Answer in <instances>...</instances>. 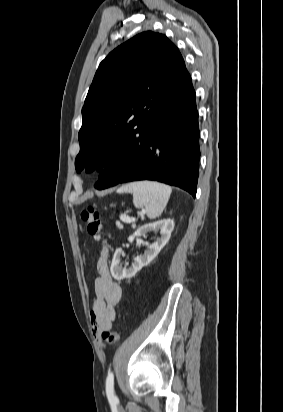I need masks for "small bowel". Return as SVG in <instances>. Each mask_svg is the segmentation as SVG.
<instances>
[{
    "mask_svg": "<svg viewBox=\"0 0 283 412\" xmlns=\"http://www.w3.org/2000/svg\"><path fill=\"white\" fill-rule=\"evenodd\" d=\"M108 251L104 248L97 262V278L95 279V298L90 311V323L93 335L100 339L104 330L111 328L115 310L122 297L121 287L112 279L108 268Z\"/></svg>",
    "mask_w": 283,
    "mask_h": 412,
    "instance_id": "c3829d8e",
    "label": "small bowel"
}]
</instances>
